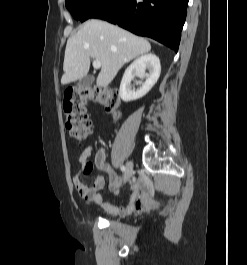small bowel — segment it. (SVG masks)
Masks as SVG:
<instances>
[{
    "label": "small bowel",
    "mask_w": 247,
    "mask_h": 265,
    "mask_svg": "<svg viewBox=\"0 0 247 265\" xmlns=\"http://www.w3.org/2000/svg\"><path fill=\"white\" fill-rule=\"evenodd\" d=\"M92 153V147H87L80 153L79 162L84 172H88L87 167L90 165L89 158ZM94 164L98 170L108 174L109 188L111 190H116L122 184V179L116 175L111 165L106 162L104 150H99L95 154ZM73 185L82 199L101 206L106 212L113 216H127L134 211H146L157 205V200L154 198L151 191L149 189L141 190L136 183L131 184L128 202L119 207L103 202L101 191L104 187V178L102 176L95 177L92 186H88L81 180L80 175L77 174L73 178Z\"/></svg>",
    "instance_id": "obj_1"
}]
</instances>
